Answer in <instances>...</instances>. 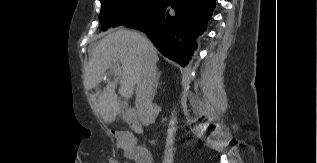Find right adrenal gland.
Returning <instances> with one entry per match:
<instances>
[{
	"instance_id": "1",
	"label": "right adrenal gland",
	"mask_w": 317,
	"mask_h": 163,
	"mask_svg": "<svg viewBox=\"0 0 317 163\" xmlns=\"http://www.w3.org/2000/svg\"><path fill=\"white\" fill-rule=\"evenodd\" d=\"M161 76V71H158L157 73V76H156V79H155V82H154V93H156V89L158 87V84H159V78Z\"/></svg>"
}]
</instances>
